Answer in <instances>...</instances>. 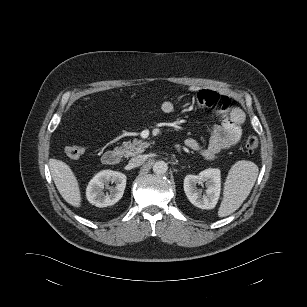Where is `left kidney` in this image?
<instances>
[{
    "label": "left kidney",
    "mask_w": 307,
    "mask_h": 307,
    "mask_svg": "<svg viewBox=\"0 0 307 307\" xmlns=\"http://www.w3.org/2000/svg\"><path fill=\"white\" fill-rule=\"evenodd\" d=\"M203 182L207 189L201 195L196 185ZM184 191L188 200L194 206L201 209H213L221 192L220 170L209 168L201 171L199 175H187L184 179Z\"/></svg>",
    "instance_id": "left-kidney-1"
}]
</instances>
